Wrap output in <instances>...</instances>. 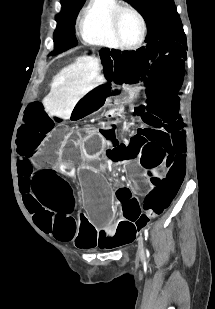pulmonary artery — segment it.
I'll return each instance as SVG.
<instances>
[{"label": "pulmonary artery", "mask_w": 215, "mask_h": 309, "mask_svg": "<svg viewBox=\"0 0 215 309\" xmlns=\"http://www.w3.org/2000/svg\"><path fill=\"white\" fill-rule=\"evenodd\" d=\"M115 3L111 0H96L92 1L93 16H106L110 8H114Z\"/></svg>", "instance_id": "e3ab8cb5"}]
</instances>
